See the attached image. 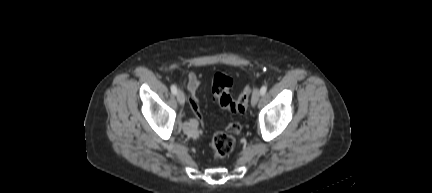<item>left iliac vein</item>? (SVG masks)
<instances>
[{
  "label": "left iliac vein",
  "instance_id": "obj_1",
  "mask_svg": "<svg viewBox=\"0 0 432 193\" xmlns=\"http://www.w3.org/2000/svg\"><path fill=\"white\" fill-rule=\"evenodd\" d=\"M260 98V91L259 89H254L253 94H252V98H251V104L252 106H256V104L258 103Z\"/></svg>",
  "mask_w": 432,
  "mask_h": 193
}]
</instances>
